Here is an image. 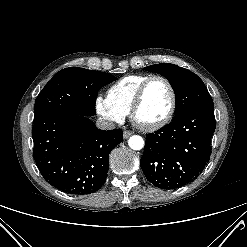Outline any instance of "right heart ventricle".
I'll return each mask as SVG.
<instances>
[{
  "mask_svg": "<svg viewBox=\"0 0 247 247\" xmlns=\"http://www.w3.org/2000/svg\"><path fill=\"white\" fill-rule=\"evenodd\" d=\"M150 76L149 74H131L121 78L108 89V99L127 115L138 88Z\"/></svg>",
  "mask_w": 247,
  "mask_h": 247,
  "instance_id": "e07e8e85",
  "label": "right heart ventricle"
}]
</instances>
